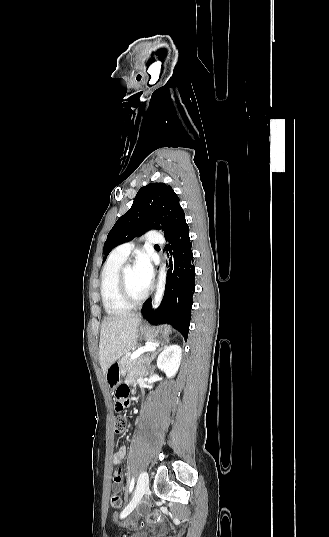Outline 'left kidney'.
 Masks as SVG:
<instances>
[{"instance_id": "left-kidney-1", "label": "left kidney", "mask_w": 329, "mask_h": 537, "mask_svg": "<svg viewBox=\"0 0 329 537\" xmlns=\"http://www.w3.org/2000/svg\"><path fill=\"white\" fill-rule=\"evenodd\" d=\"M182 349L179 345H169L157 359V367L164 371L168 378L178 371L181 361Z\"/></svg>"}]
</instances>
